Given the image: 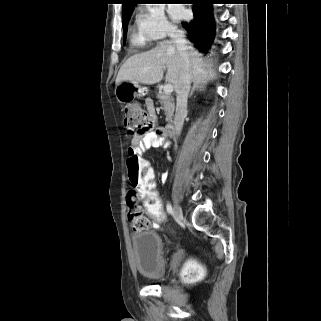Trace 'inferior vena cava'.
<instances>
[{
	"label": "inferior vena cava",
	"mask_w": 321,
	"mask_h": 321,
	"mask_svg": "<svg viewBox=\"0 0 321 321\" xmlns=\"http://www.w3.org/2000/svg\"><path fill=\"white\" fill-rule=\"evenodd\" d=\"M168 35L174 41L181 59V74L178 87L176 88V112L173 122L174 141L176 142L178 136L181 134L187 113V99L190 91L192 75L185 33L181 30L171 29Z\"/></svg>",
	"instance_id": "602c4592"
}]
</instances>
